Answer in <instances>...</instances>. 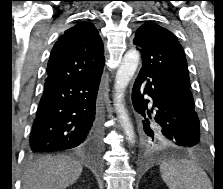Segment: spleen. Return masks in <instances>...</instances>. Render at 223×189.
<instances>
[{
	"label": "spleen",
	"mask_w": 223,
	"mask_h": 189,
	"mask_svg": "<svg viewBox=\"0 0 223 189\" xmlns=\"http://www.w3.org/2000/svg\"><path fill=\"white\" fill-rule=\"evenodd\" d=\"M160 172L169 189H212L204 170L190 160L164 162Z\"/></svg>",
	"instance_id": "1"
}]
</instances>
